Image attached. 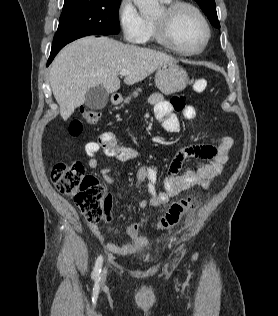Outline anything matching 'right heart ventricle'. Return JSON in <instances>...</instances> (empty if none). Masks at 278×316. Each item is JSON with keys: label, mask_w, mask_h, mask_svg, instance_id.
Wrapping results in <instances>:
<instances>
[{"label": "right heart ventricle", "mask_w": 278, "mask_h": 316, "mask_svg": "<svg viewBox=\"0 0 278 316\" xmlns=\"http://www.w3.org/2000/svg\"><path fill=\"white\" fill-rule=\"evenodd\" d=\"M166 3L171 2L172 0H162ZM140 43L144 44H158L162 46H166L163 42H161L155 32L154 22L152 19H146V30L144 37Z\"/></svg>", "instance_id": "1"}]
</instances>
